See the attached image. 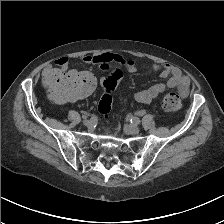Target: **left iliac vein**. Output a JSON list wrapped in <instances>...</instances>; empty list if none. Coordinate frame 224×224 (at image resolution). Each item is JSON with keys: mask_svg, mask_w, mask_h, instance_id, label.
<instances>
[{"mask_svg": "<svg viewBox=\"0 0 224 224\" xmlns=\"http://www.w3.org/2000/svg\"><path fill=\"white\" fill-rule=\"evenodd\" d=\"M124 130L127 134H138L140 131V129L136 125H133V124L125 125Z\"/></svg>", "mask_w": 224, "mask_h": 224, "instance_id": "left-iliac-vein-1", "label": "left iliac vein"}]
</instances>
